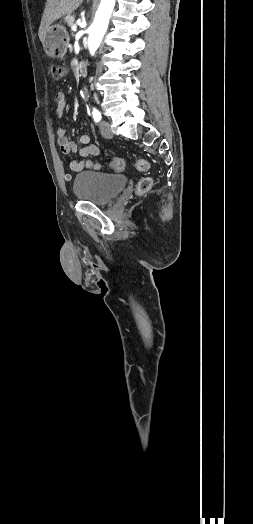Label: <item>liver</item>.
<instances>
[{
	"label": "liver",
	"mask_w": 253,
	"mask_h": 524,
	"mask_svg": "<svg viewBox=\"0 0 253 524\" xmlns=\"http://www.w3.org/2000/svg\"><path fill=\"white\" fill-rule=\"evenodd\" d=\"M83 0H47L39 27V39L43 43L50 25L64 15L75 11Z\"/></svg>",
	"instance_id": "1"
}]
</instances>
